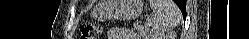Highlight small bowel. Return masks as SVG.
Returning <instances> with one entry per match:
<instances>
[{"label": "small bowel", "mask_w": 249, "mask_h": 39, "mask_svg": "<svg viewBox=\"0 0 249 39\" xmlns=\"http://www.w3.org/2000/svg\"><path fill=\"white\" fill-rule=\"evenodd\" d=\"M109 33L118 38H125V39H130L134 36V33L130 31L129 29L118 28V27L110 28Z\"/></svg>", "instance_id": "obj_1"}]
</instances>
